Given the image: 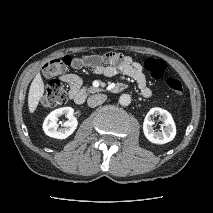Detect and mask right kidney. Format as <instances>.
I'll list each match as a JSON object with an SVG mask.
<instances>
[{
    "instance_id": "right-kidney-1",
    "label": "right kidney",
    "mask_w": 213,
    "mask_h": 213,
    "mask_svg": "<svg viewBox=\"0 0 213 213\" xmlns=\"http://www.w3.org/2000/svg\"><path fill=\"white\" fill-rule=\"evenodd\" d=\"M73 114L74 109L72 107H62L52 111L43 123L45 134L56 139H65L70 136L78 125V121ZM61 115H65L68 118V121L63 124V128H59L58 124V119Z\"/></svg>"
}]
</instances>
